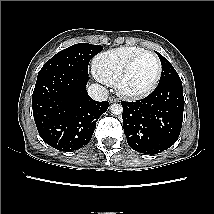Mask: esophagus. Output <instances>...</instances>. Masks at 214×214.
Wrapping results in <instances>:
<instances>
[{
  "mask_svg": "<svg viewBox=\"0 0 214 214\" xmlns=\"http://www.w3.org/2000/svg\"><path fill=\"white\" fill-rule=\"evenodd\" d=\"M109 102H110V103L118 102V99L115 98V97H110V98H109Z\"/></svg>",
  "mask_w": 214,
  "mask_h": 214,
  "instance_id": "1",
  "label": "esophagus"
}]
</instances>
